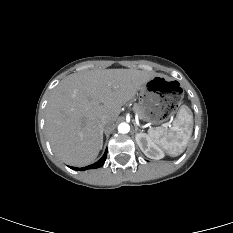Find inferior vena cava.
<instances>
[{
	"instance_id": "inferior-vena-cava-1",
	"label": "inferior vena cava",
	"mask_w": 233,
	"mask_h": 233,
	"mask_svg": "<svg viewBox=\"0 0 233 233\" xmlns=\"http://www.w3.org/2000/svg\"><path fill=\"white\" fill-rule=\"evenodd\" d=\"M99 127L103 130L106 126H108L110 124L109 120L102 117L100 120H99Z\"/></svg>"
}]
</instances>
